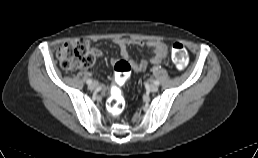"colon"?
<instances>
[{
	"label": "colon",
	"mask_w": 258,
	"mask_h": 158,
	"mask_svg": "<svg viewBox=\"0 0 258 158\" xmlns=\"http://www.w3.org/2000/svg\"><path fill=\"white\" fill-rule=\"evenodd\" d=\"M170 52L174 66L178 70H183L188 64L186 47L180 42H174L170 46ZM57 56L61 67L66 71L90 67L94 64L96 57L84 39H72L65 42L58 49ZM131 70V65L126 60H119L114 64L113 87L108 101V110L113 115H118L124 109L125 101L121 88L128 80Z\"/></svg>",
	"instance_id": "1"
}]
</instances>
